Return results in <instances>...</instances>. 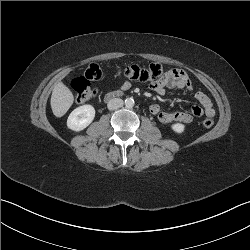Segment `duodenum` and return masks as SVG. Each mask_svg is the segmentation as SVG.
<instances>
[{
  "label": "duodenum",
  "mask_w": 250,
  "mask_h": 250,
  "mask_svg": "<svg viewBox=\"0 0 250 250\" xmlns=\"http://www.w3.org/2000/svg\"><path fill=\"white\" fill-rule=\"evenodd\" d=\"M120 95H121V92H118V91L109 92L105 95V101L112 100Z\"/></svg>",
  "instance_id": "duodenum-1"
}]
</instances>
